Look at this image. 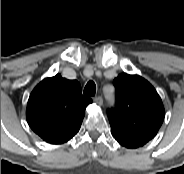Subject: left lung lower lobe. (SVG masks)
I'll return each mask as SVG.
<instances>
[{
    "label": "left lung lower lobe",
    "mask_w": 184,
    "mask_h": 174,
    "mask_svg": "<svg viewBox=\"0 0 184 174\" xmlns=\"http://www.w3.org/2000/svg\"><path fill=\"white\" fill-rule=\"evenodd\" d=\"M111 134L119 142V144L127 148L141 147L148 142L146 139L136 138L112 128Z\"/></svg>",
    "instance_id": "0a47b994"
}]
</instances>
